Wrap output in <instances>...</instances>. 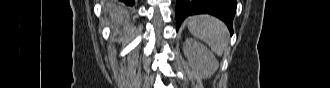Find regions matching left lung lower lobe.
<instances>
[{"label": "left lung lower lobe", "mask_w": 330, "mask_h": 88, "mask_svg": "<svg viewBox=\"0 0 330 88\" xmlns=\"http://www.w3.org/2000/svg\"><path fill=\"white\" fill-rule=\"evenodd\" d=\"M236 7V0H176L177 31L187 16L207 13L224 21L232 35Z\"/></svg>", "instance_id": "1"}]
</instances>
